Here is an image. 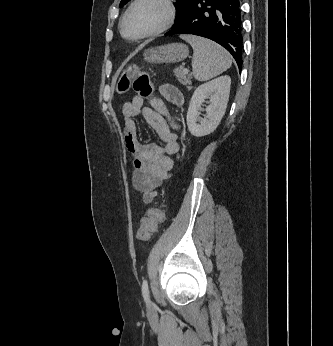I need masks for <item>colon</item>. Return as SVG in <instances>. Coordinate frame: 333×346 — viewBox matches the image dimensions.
I'll return each instance as SVG.
<instances>
[{"instance_id":"1","label":"colon","mask_w":333,"mask_h":346,"mask_svg":"<svg viewBox=\"0 0 333 346\" xmlns=\"http://www.w3.org/2000/svg\"><path fill=\"white\" fill-rule=\"evenodd\" d=\"M117 88L119 93H126L132 89L142 98L153 96V85L149 73L136 66H129L125 69ZM163 219V212L159 208L148 209L137 229V238L142 241L148 240L156 232Z\"/></svg>"}]
</instances>
